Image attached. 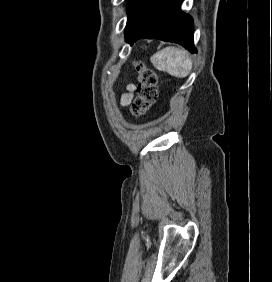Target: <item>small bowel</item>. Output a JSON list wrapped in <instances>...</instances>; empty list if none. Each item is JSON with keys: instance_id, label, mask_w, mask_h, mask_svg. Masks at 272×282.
<instances>
[{"instance_id": "1", "label": "small bowel", "mask_w": 272, "mask_h": 282, "mask_svg": "<svg viewBox=\"0 0 272 282\" xmlns=\"http://www.w3.org/2000/svg\"><path fill=\"white\" fill-rule=\"evenodd\" d=\"M135 85L134 84H129L126 87L125 93L122 94L120 103L123 106H127L131 103L135 91Z\"/></svg>"}]
</instances>
